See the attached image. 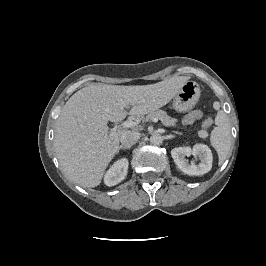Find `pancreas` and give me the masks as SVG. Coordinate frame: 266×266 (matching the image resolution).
<instances>
[{
	"label": "pancreas",
	"mask_w": 266,
	"mask_h": 266,
	"mask_svg": "<svg viewBox=\"0 0 266 266\" xmlns=\"http://www.w3.org/2000/svg\"><path fill=\"white\" fill-rule=\"evenodd\" d=\"M153 118L159 119L164 126L167 127H175L177 123V119L170 117L165 111L163 110H156L150 112L146 117H142V120H152Z\"/></svg>",
	"instance_id": "cf45deb5"
}]
</instances>
